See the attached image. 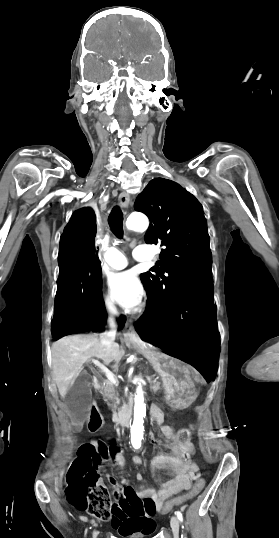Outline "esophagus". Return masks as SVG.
<instances>
[{
    "label": "esophagus",
    "instance_id": "34e87169",
    "mask_svg": "<svg viewBox=\"0 0 279 538\" xmlns=\"http://www.w3.org/2000/svg\"><path fill=\"white\" fill-rule=\"evenodd\" d=\"M129 200H130L129 194L126 192H122L120 193L118 197V204L122 208H127L129 205ZM124 338L136 340V339H139V335L137 334V332L135 331L132 325H128L127 330L124 332Z\"/></svg>",
    "mask_w": 279,
    "mask_h": 538
}]
</instances>
